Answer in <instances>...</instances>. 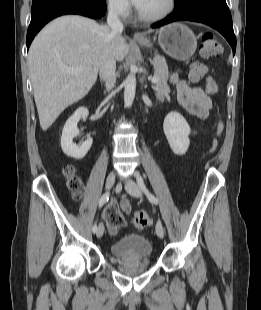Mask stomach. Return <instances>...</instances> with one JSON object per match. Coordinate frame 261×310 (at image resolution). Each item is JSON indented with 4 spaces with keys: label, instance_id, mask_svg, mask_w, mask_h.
I'll return each mask as SVG.
<instances>
[{
    "label": "stomach",
    "instance_id": "obj_1",
    "mask_svg": "<svg viewBox=\"0 0 261 310\" xmlns=\"http://www.w3.org/2000/svg\"><path fill=\"white\" fill-rule=\"evenodd\" d=\"M141 45L150 46L148 41H139ZM160 47L174 59L186 61L197 48V38L183 23H171L161 28L158 35Z\"/></svg>",
    "mask_w": 261,
    "mask_h": 310
}]
</instances>
